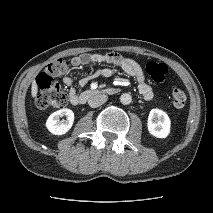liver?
<instances>
[{"label":"liver","instance_id":"liver-1","mask_svg":"<svg viewBox=\"0 0 213 213\" xmlns=\"http://www.w3.org/2000/svg\"><path fill=\"white\" fill-rule=\"evenodd\" d=\"M38 93V87H37V84L35 82L32 83V87H31V95L32 97H36Z\"/></svg>","mask_w":213,"mask_h":213}]
</instances>
